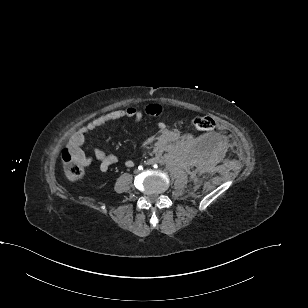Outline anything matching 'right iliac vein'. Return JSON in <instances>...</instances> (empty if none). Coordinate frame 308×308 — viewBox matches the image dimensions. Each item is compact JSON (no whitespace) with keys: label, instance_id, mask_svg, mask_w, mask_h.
Returning a JSON list of instances; mask_svg holds the SVG:
<instances>
[{"label":"right iliac vein","instance_id":"1","mask_svg":"<svg viewBox=\"0 0 308 308\" xmlns=\"http://www.w3.org/2000/svg\"><path fill=\"white\" fill-rule=\"evenodd\" d=\"M140 171L138 169L134 170V174H138Z\"/></svg>","mask_w":308,"mask_h":308}]
</instances>
